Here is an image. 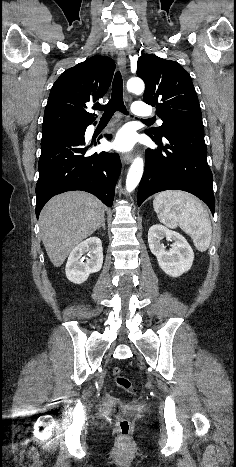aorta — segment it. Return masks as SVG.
I'll return each instance as SVG.
<instances>
[{"label":"aorta","mask_w":236,"mask_h":467,"mask_svg":"<svg viewBox=\"0 0 236 467\" xmlns=\"http://www.w3.org/2000/svg\"><path fill=\"white\" fill-rule=\"evenodd\" d=\"M145 88L143 80L140 78H132L127 82V90L131 93L141 94ZM144 170V161L141 157H136L129 169L126 178V189L128 192L133 191L139 184Z\"/></svg>","instance_id":"aorta-1"}]
</instances>
